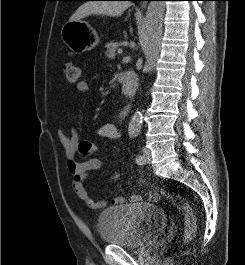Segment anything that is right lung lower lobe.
<instances>
[{
  "label": "right lung lower lobe",
  "mask_w": 245,
  "mask_h": 265,
  "mask_svg": "<svg viewBox=\"0 0 245 265\" xmlns=\"http://www.w3.org/2000/svg\"><path fill=\"white\" fill-rule=\"evenodd\" d=\"M84 1H86V0H84ZM128 1H135V0H128ZM149 1V0H148Z\"/></svg>",
  "instance_id": "obj_1"
}]
</instances>
